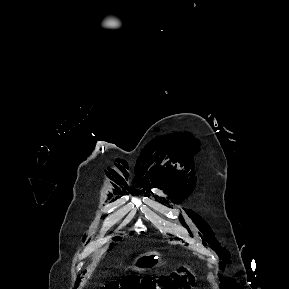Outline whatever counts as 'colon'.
I'll return each mask as SVG.
<instances>
[{"label":"colon","mask_w":289,"mask_h":289,"mask_svg":"<svg viewBox=\"0 0 289 289\" xmlns=\"http://www.w3.org/2000/svg\"><path fill=\"white\" fill-rule=\"evenodd\" d=\"M195 285V276L182 268L159 278L126 277L120 281L105 284L100 289H190Z\"/></svg>","instance_id":"1"}]
</instances>
